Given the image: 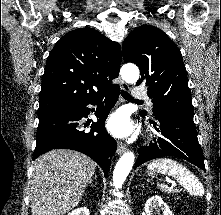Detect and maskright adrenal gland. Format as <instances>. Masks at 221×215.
<instances>
[{
	"instance_id": "right-adrenal-gland-1",
	"label": "right adrenal gland",
	"mask_w": 221,
	"mask_h": 215,
	"mask_svg": "<svg viewBox=\"0 0 221 215\" xmlns=\"http://www.w3.org/2000/svg\"><path fill=\"white\" fill-rule=\"evenodd\" d=\"M96 178H97V177L95 176L94 179H96ZM92 180H93V179H91V180L89 181V183H92Z\"/></svg>"
}]
</instances>
